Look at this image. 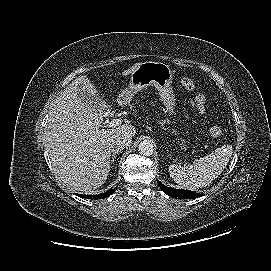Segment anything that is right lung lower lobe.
Here are the masks:
<instances>
[{"label":"right lung lower lobe","mask_w":271,"mask_h":271,"mask_svg":"<svg viewBox=\"0 0 271 271\" xmlns=\"http://www.w3.org/2000/svg\"><path fill=\"white\" fill-rule=\"evenodd\" d=\"M115 189H109L107 192L98 194V195H82V194H77L79 197L86 198V199H102L110 196L113 194Z\"/></svg>","instance_id":"obj_1"}]
</instances>
